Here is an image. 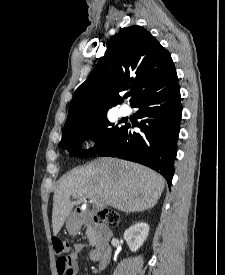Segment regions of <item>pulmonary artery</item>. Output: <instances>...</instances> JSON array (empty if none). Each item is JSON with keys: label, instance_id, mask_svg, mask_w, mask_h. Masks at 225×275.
<instances>
[{"label": "pulmonary artery", "instance_id": "pulmonary-artery-1", "mask_svg": "<svg viewBox=\"0 0 225 275\" xmlns=\"http://www.w3.org/2000/svg\"><path fill=\"white\" fill-rule=\"evenodd\" d=\"M129 112H130V109H129L128 107H126V106H123V107H121V108L119 109V114H120L121 116H126V115L129 114Z\"/></svg>", "mask_w": 225, "mask_h": 275}]
</instances>
